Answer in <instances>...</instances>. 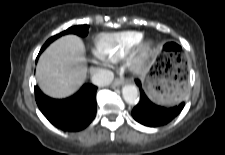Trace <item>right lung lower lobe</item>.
I'll list each match as a JSON object with an SVG mask.
<instances>
[{
  "instance_id": "98d812e1",
  "label": "right lung lower lobe",
  "mask_w": 225,
  "mask_h": 155,
  "mask_svg": "<svg viewBox=\"0 0 225 155\" xmlns=\"http://www.w3.org/2000/svg\"><path fill=\"white\" fill-rule=\"evenodd\" d=\"M96 90V86L85 84L75 95L58 100L46 96L36 86L35 99L40 111L51 124L64 131H80L95 118Z\"/></svg>"
}]
</instances>
